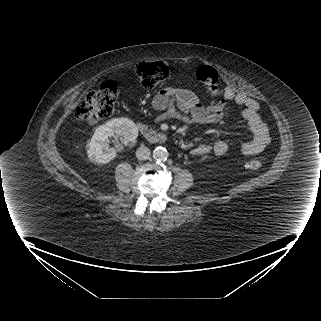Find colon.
Returning a JSON list of instances; mask_svg holds the SVG:
<instances>
[{
	"label": "colon",
	"mask_w": 321,
	"mask_h": 321,
	"mask_svg": "<svg viewBox=\"0 0 321 321\" xmlns=\"http://www.w3.org/2000/svg\"><path fill=\"white\" fill-rule=\"evenodd\" d=\"M170 67L162 62H143L136 67V74L140 82L146 87H154L170 76ZM197 79L208 89L209 93L216 95L219 90V75L217 70L209 65H202L196 70ZM118 89L113 81L103 82L99 88L90 91L79 103L75 110V117L81 121L96 123L109 118L114 111ZM263 162L259 158L247 162L250 170H259Z\"/></svg>",
	"instance_id": "colon-1"
}]
</instances>
